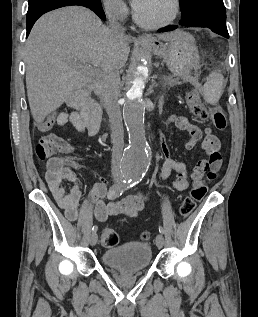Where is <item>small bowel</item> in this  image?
Masks as SVG:
<instances>
[{"label": "small bowel", "instance_id": "1", "mask_svg": "<svg viewBox=\"0 0 258 317\" xmlns=\"http://www.w3.org/2000/svg\"><path fill=\"white\" fill-rule=\"evenodd\" d=\"M54 124L59 126L72 124L78 131L86 133L88 136H95L101 124V111L93 100L85 99L75 111L48 116L38 125V130L47 131ZM171 124L190 134V138L185 144L186 149L191 150L202 141V148L208 156L207 159L200 160L193 170L189 172L184 163L169 157L168 147L164 142L162 143V149L165 154L161 170L162 179H167L175 171L177 176L172 181L171 186L176 190L182 191L188 188L190 180L194 184L199 185L208 169L218 170L221 167V144L219 139L213 134L212 129L205 128L201 130L185 116L172 115L167 120L166 126L168 127ZM93 173L97 177H101L99 170L94 169ZM46 181L54 199L59 207L64 210L66 217L71 221H76L79 217L82 193L79 189L76 175L68 167L65 159L53 157L48 160ZM63 182L71 183V187L66 190ZM106 193V183H96L84 208L86 214L94 217L99 222H104L108 217L118 215L136 217L144 208L145 198L140 194L105 203Z\"/></svg>", "mask_w": 258, "mask_h": 317}]
</instances>
